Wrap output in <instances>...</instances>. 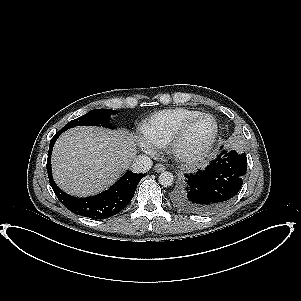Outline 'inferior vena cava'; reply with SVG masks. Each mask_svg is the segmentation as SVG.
Returning a JSON list of instances; mask_svg holds the SVG:
<instances>
[{
	"label": "inferior vena cava",
	"mask_w": 301,
	"mask_h": 301,
	"mask_svg": "<svg viewBox=\"0 0 301 301\" xmlns=\"http://www.w3.org/2000/svg\"><path fill=\"white\" fill-rule=\"evenodd\" d=\"M152 167V160L147 155H137L133 159L130 169L134 173H146Z\"/></svg>",
	"instance_id": "1"
}]
</instances>
